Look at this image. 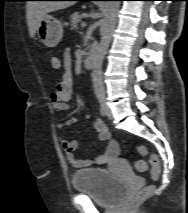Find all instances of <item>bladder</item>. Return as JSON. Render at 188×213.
Here are the masks:
<instances>
[{
	"label": "bladder",
	"mask_w": 188,
	"mask_h": 213,
	"mask_svg": "<svg viewBox=\"0 0 188 213\" xmlns=\"http://www.w3.org/2000/svg\"><path fill=\"white\" fill-rule=\"evenodd\" d=\"M75 190L88 195L101 206L115 205L127 190L124 180L114 178L103 168H88L75 171L71 177Z\"/></svg>",
	"instance_id": "31cf9c89"
}]
</instances>
